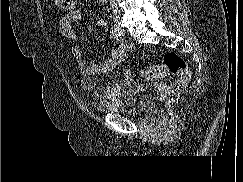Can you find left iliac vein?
<instances>
[{"label":"left iliac vein","mask_w":243,"mask_h":182,"mask_svg":"<svg viewBox=\"0 0 243 182\" xmlns=\"http://www.w3.org/2000/svg\"><path fill=\"white\" fill-rule=\"evenodd\" d=\"M120 31H121V33H122V34H124V33H125V32H124V29H123V28H121V27H120Z\"/></svg>","instance_id":"1"}]
</instances>
